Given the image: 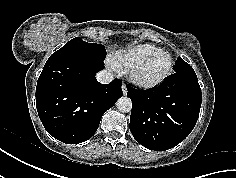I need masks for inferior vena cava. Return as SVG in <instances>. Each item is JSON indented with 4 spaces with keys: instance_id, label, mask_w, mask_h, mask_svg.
I'll return each instance as SVG.
<instances>
[{
    "instance_id": "1",
    "label": "inferior vena cava",
    "mask_w": 236,
    "mask_h": 178,
    "mask_svg": "<svg viewBox=\"0 0 236 178\" xmlns=\"http://www.w3.org/2000/svg\"><path fill=\"white\" fill-rule=\"evenodd\" d=\"M96 78L100 83L108 84L113 81L114 75L107 70H102L97 73Z\"/></svg>"
}]
</instances>
